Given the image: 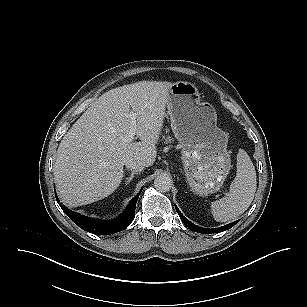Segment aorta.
Listing matches in <instances>:
<instances>
[{"instance_id": "obj_1", "label": "aorta", "mask_w": 307, "mask_h": 307, "mask_svg": "<svg viewBox=\"0 0 307 307\" xmlns=\"http://www.w3.org/2000/svg\"><path fill=\"white\" fill-rule=\"evenodd\" d=\"M154 187L161 192L169 191L172 187L171 177L167 174L158 175L154 180Z\"/></svg>"}]
</instances>
